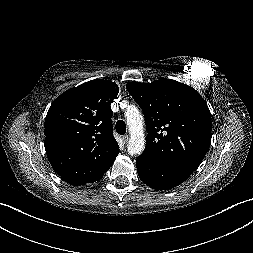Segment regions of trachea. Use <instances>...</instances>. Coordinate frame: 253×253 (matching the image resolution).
Here are the masks:
<instances>
[{
	"label": "trachea",
	"mask_w": 253,
	"mask_h": 253,
	"mask_svg": "<svg viewBox=\"0 0 253 253\" xmlns=\"http://www.w3.org/2000/svg\"><path fill=\"white\" fill-rule=\"evenodd\" d=\"M116 132L120 135H124L126 133V124L123 120H118L115 125Z\"/></svg>",
	"instance_id": "1"
}]
</instances>
